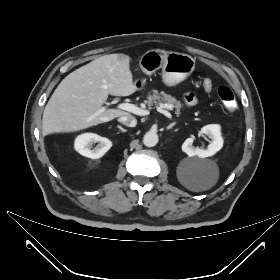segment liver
I'll list each match as a JSON object with an SVG mask.
<instances>
[{
    "mask_svg": "<svg viewBox=\"0 0 280 280\" xmlns=\"http://www.w3.org/2000/svg\"><path fill=\"white\" fill-rule=\"evenodd\" d=\"M129 62L125 54L104 55L67 75L44 109L42 134L74 132L131 115L103 107L109 94L129 96L137 90Z\"/></svg>",
    "mask_w": 280,
    "mask_h": 280,
    "instance_id": "6515ba94",
    "label": "liver"
}]
</instances>
